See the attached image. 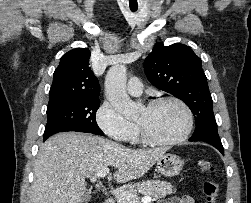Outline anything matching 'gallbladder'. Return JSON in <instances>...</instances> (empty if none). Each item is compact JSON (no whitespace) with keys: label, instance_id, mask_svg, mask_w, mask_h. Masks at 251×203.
<instances>
[{"label":"gallbladder","instance_id":"gallbladder-1","mask_svg":"<svg viewBox=\"0 0 251 203\" xmlns=\"http://www.w3.org/2000/svg\"><path fill=\"white\" fill-rule=\"evenodd\" d=\"M91 200V190H86L83 196L81 197L80 203H88Z\"/></svg>","mask_w":251,"mask_h":203}]
</instances>
